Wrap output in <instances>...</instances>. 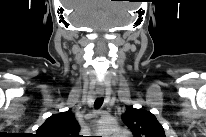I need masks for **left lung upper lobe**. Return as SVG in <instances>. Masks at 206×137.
Masks as SVG:
<instances>
[{"mask_svg": "<svg viewBox=\"0 0 206 137\" xmlns=\"http://www.w3.org/2000/svg\"><path fill=\"white\" fill-rule=\"evenodd\" d=\"M122 120L134 137H166L162 125L148 111L130 107L122 115Z\"/></svg>", "mask_w": 206, "mask_h": 137, "instance_id": "1", "label": "left lung upper lobe"}]
</instances>
